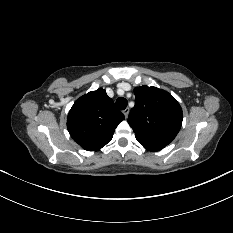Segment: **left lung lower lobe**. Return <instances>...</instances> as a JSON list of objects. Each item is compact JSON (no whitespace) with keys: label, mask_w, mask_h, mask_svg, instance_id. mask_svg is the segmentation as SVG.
Here are the masks:
<instances>
[{"label":"left lung lower lobe","mask_w":233,"mask_h":233,"mask_svg":"<svg viewBox=\"0 0 233 233\" xmlns=\"http://www.w3.org/2000/svg\"><path fill=\"white\" fill-rule=\"evenodd\" d=\"M165 146H162V145H149V146H146L145 148L149 151H159L161 149H163Z\"/></svg>","instance_id":"obj_1"}]
</instances>
